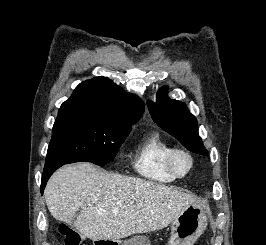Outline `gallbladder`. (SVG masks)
I'll return each instance as SVG.
<instances>
[{
  "label": "gallbladder",
  "mask_w": 266,
  "mask_h": 245,
  "mask_svg": "<svg viewBox=\"0 0 266 245\" xmlns=\"http://www.w3.org/2000/svg\"><path fill=\"white\" fill-rule=\"evenodd\" d=\"M80 213H76L75 217H79Z\"/></svg>",
  "instance_id": "1"
}]
</instances>
